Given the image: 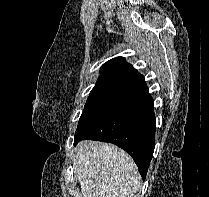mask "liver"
<instances>
[{"instance_id": "obj_1", "label": "liver", "mask_w": 209, "mask_h": 197, "mask_svg": "<svg viewBox=\"0 0 209 197\" xmlns=\"http://www.w3.org/2000/svg\"><path fill=\"white\" fill-rule=\"evenodd\" d=\"M76 152L75 176L82 197H137L141 178L125 151L108 143L83 141Z\"/></svg>"}]
</instances>
